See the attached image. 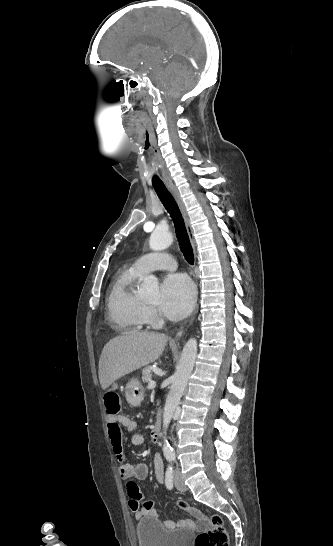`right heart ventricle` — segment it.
<instances>
[{
	"label": "right heart ventricle",
	"instance_id": "right-heart-ventricle-1",
	"mask_svg": "<svg viewBox=\"0 0 333 546\" xmlns=\"http://www.w3.org/2000/svg\"><path fill=\"white\" fill-rule=\"evenodd\" d=\"M143 274L133 266L122 270L114 279L107 297L109 321L125 331L145 328L144 302L135 290Z\"/></svg>",
	"mask_w": 333,
	"mask_h": 546
}]
</instances>
